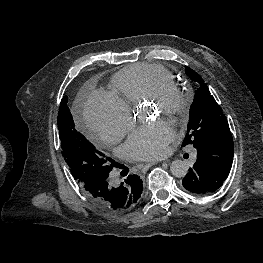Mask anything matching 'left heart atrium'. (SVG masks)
<instances>
[{
	"label": "left heart atrium",
	"instance_id": "left-heart-atrium-1",
	"mask_svg": "<svg viewBox=\"0 0 263 263\" xmlns=\"http://www.w3.org/2000/svg\"><path fill=\"white\" fill-rule=\"evenodd\" d=\"M172 139V128L167 123L158 120L133 131L123 146V151L128 157L135 160H154L165 154L166 146Z\"/></svg>",
	"mask_w": 263,
	"mask_h": 263
}]
</instances>
